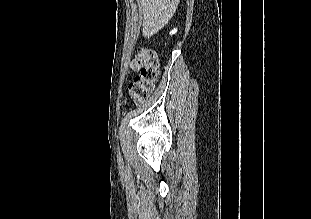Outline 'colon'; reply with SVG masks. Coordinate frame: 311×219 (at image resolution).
Here are the masks:
<instances>
[{
    "label": "colon",
    "instance_id": "1",
    "mask_svg": "<svg viewBox=\"0 0 311 219\" xmlns=\"http://www.w3.org/2000/svg\"><path fill=\"white\" fill-rule=\"evenodd\" d=\"M130 68L136 76L129 84V93L135 103L145 101L159 77V59L155 50L143 48L139 50L130 63Z\"/></svg>",
    "mask_w": 311,
    "mask_h": 219
}]
</instances>
